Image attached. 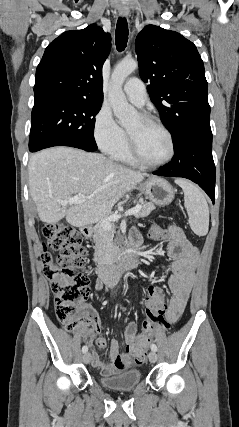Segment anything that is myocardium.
<instances>
[{
    "instance_id": "1",
    "label": "myocardium",
    "mask_w": 239,
    "mask_h": 427,
    "mask_svg": "<svg viewBox=\"0 0 239 427\" xmlns=\"http://www.w3.org/2000/svg\"><path fill=\"white\" fill-rule=\"evenodd\" d=\"M139 117L141 118V120L143 122L159 128L160 130H162L166 134V136L168 137L169 142H170V154L166 159H164L161 162H157V163H152V162L145 160L141 156V154L139 153V150L137 148V145H136L133 137L127 131V146H128V151H129L130 156L132 157V159L136 163H138L142 166L148 167V168H159V167L167 165L168 163H170L174 159V157L176 155V144H175V140H174V137H173L171 131L163 123H161L159 120H157L156 118H154L153 116H151L149 114L141 113V114H139Z\"/></svg>"
}]
</instances>
